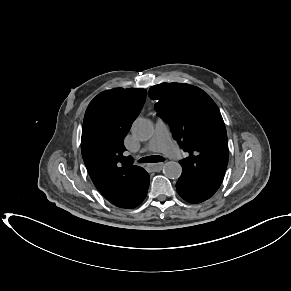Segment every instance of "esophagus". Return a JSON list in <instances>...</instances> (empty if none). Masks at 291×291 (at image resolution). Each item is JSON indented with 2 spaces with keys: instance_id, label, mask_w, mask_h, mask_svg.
<instances>
[{
  "instance_id": "esophagus-1",
  "label": "esophagus",
  "mask_w": 291,
  "mask_h": 291,
  "mask_svg": "<svg viewBox=\"0 0 291 291\" xmlns=\"http://www.w3.org/2000/svg\"><path fill=\"white\" fill-rule=\"evenodd\" d=\"M163 166H164V163H155V164L150 165L152 171L154 172L160 171L163 168Z\"/></svg>"
}]
</instances>
